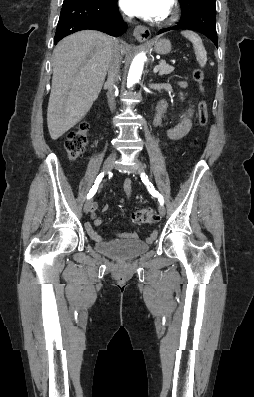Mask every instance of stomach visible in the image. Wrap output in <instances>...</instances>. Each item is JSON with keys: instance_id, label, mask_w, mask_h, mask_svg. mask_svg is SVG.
<instances>
[{"instance_id": "stomach-1", "label": "stomach", "mask_w": 254, "mask_h": 397, "mask_svg": "<svg viewBox=\"0 0 254 397\" xmlns=\"http://www.w3.org/2000/svg\"><path fill=\"white\" fill-rule=\"evenodd\" d=\"M153 49L158 54H168L171 51V42L168 39L157 38L152 42Z\"/></svg>"}]
</instances>
